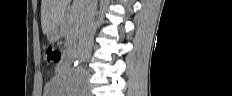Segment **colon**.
I'll use <instances>...</instances> for the list:
<instances>
[{
	"label": "colon",
	"mask_w": 232,
	"mask_h": 96,
	"mask_svg": "<svg viewBox=\"0 0 232 96\" xmlns=\"http://www.w3.org/2000/svg\"><path fill=\"white\" fill-rule=\"evenodd\" d=\"M46 58L50 63H59L61 60V52L53 47H48L46 49Z\"/></svg>",
	"instance_id": "obj_1"
}]
</instances>
